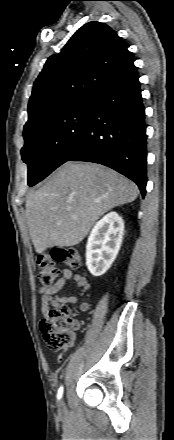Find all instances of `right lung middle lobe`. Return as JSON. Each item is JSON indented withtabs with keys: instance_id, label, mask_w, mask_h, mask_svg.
Wrapping results in <instances>:
<instances>
[{
	"instance_id": "dd1d6c3e",
	"label": "right lung middle lobe",
	"mask_w": 174,
	"mask_h": 440,
	"mask_svg": "<svg viewBox=\"0 0 174 440\" xmlns=\"http://www.w3.org/2000/svg\"><path fill=\"white\" fill-rule=\"evenodd\" d=\"M93 104V96H85L24 129L21 155L28 165L30 187L66 162L83 138Z\"/></svg>"
}]
</instances>
